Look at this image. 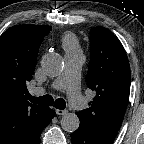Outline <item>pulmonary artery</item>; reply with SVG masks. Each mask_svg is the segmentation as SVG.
<instances>
[{
	"mask_svg": "<svg viewBox=\"0 0 144 144\" xmlns=\"http://www.w3.org/2000/svg\"><path fill=\"white\" fill-rule=\"evenodd\" d=\"M65 67L57 77L51 87L55 90H65L70 102V105L77 110L84 107L85 100L80 92V73L84 62V56L79 51L76 53H67L64 57ZM34 95H40L45 92L44 88L31 89Z\"/></svg>",
	"mask_w": 144,
	"mask_h": 144,
	"instance_id": "e3ab8cb5",
	"label": "pulmonary artery"
}]
</instances>
